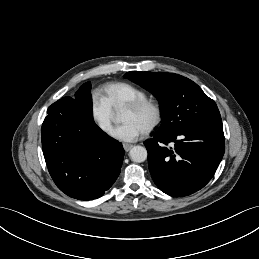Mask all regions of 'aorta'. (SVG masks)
<instances>
[{"instance_id": "obj_1", "label": "aorta", "mask_w": 259, "mask_h": 259, "mask_svg": "<svg viewBox=\"0 0 259 259\" xmlns=\"http://www.w3.org/2000/svg\"><path fill=\"white\" fill-rule=\"evenodd\" d=\"M130 158L133 162L141 163L147 159V150L143 146H134L129 152Z\"/></svg>"}]
</instances>
